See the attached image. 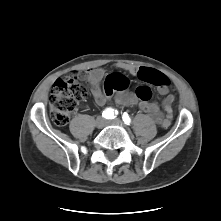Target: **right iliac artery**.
Masks as SVG:
<instances>
[{"instance_id": "right-iliac-artery-1", "label": "right iliac artery", "mask_w": 221, "mask_h": 221, "mask_svg": "<svg viewBox=\"0 0 221 221\" xmlns=\"http://www.w3.org/2000/svg\"><path fill=\"white\" fill-rule=\"evenodd\" d=\"M115 114H117V111L114 112L113 109L108 108L103 111L102 116L106 119H114L116 117Z\"/></svg>"}]
</instances>
